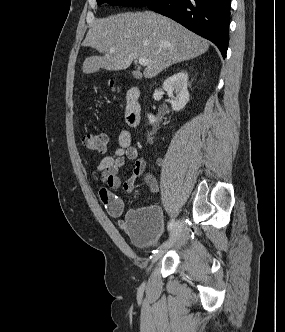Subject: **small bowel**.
<instances>
[{"label":"small bowel","mask_w":285,"mask_h":332,"mask_svg":"<svg viewBox=\"0 0 285 332\" xmlns=\"http://www.w3.org/2000/svg\"><path fill=\"white\" fill-rule=\"evenodd\" d=\"M127 161H134V165L131 175L123 182L120 170ZM146 166L147 160L140 157L138 148L132 145L130 131L121 130L118 135V147L111 155L102 158L97 165L101 181L106 184V187L99 190V198L111 217L119 218L124 212V202L114 191L122 188L126 193L136 197L141 196V192L135 187L136 180L140 176H144V181L151 192L159 191L156 177L152 172H145ZM119 225L124 226L123 221H119Z\"/></svg>","instance_id":"small-bowel-1"}]
</instances>
